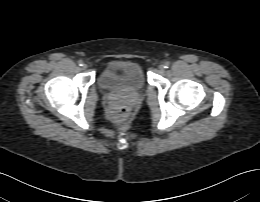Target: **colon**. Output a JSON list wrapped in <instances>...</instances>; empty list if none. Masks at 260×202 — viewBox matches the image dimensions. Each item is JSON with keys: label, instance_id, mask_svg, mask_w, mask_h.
Wrapping results in <instances>:
<instances>
[{"label": "colon", "instance_id": "1", "mask_svg": "<svg viewBox=\"0 0 260 202\" xmlns=\"http://www.w3.org/2000/svg\"><path fill=\"white\" fill-rule=\"evenodd\" d=\"M129 114V108L125 105H116L113 108V115L119 121H124Z\"/></svg>", "mask_w": 260, "mask_h": 202}]
</instances>
